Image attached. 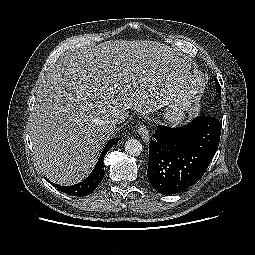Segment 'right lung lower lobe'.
<instances>
[{
	"mask_svg": "<svg viewBox=\"0 0 255 255\" xmlns=\"http://www.w3.org/2000/svg\"><path fill=\"white\" fill-rule=\"evenodd\" d=\"M118 141H119V138H114L107 142V144L105 145V147L99 157V160H98L95 168L93 169L91 174L82 182H80L76 185H72V186H60V185L54 184L50 181L49 182L55 188H57L58 190L66 193L68 195L82 197V196L91 194L96 189V187L99 185V183L102 181V179L105 175L104 162H103L105 155L107 154L109 149H111V147L113 145H115Z\"/></svg>",
	"mask_w": 255,
	"mask_h": 255,
	"instance_id": "98d812e1",
	"label": "right lung lower lobe"
}]
</instances>
